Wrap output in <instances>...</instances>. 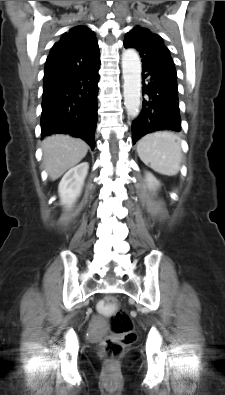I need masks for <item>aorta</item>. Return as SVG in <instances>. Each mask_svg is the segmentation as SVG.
I'll return each instance as SVG.
<instances>
[{
  "instance_id": "762f6f07",
  "label": "aorta",
  "mask_w": 225,
  "mask_h": 395,
  "mask_svg": "<svg viewBox=\"0 0 225 395\" xmlns=\"http://www.w3.org/2000/svg\"><path fill=\"white\" fill-rule=\"evenodd\" d=\"M122 73L124 105L128 115L136 118L139 115L141 104V61L135 50L127 49L123 52Z\"/></svg>"
}]
</instances>
